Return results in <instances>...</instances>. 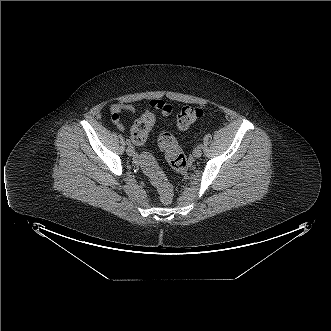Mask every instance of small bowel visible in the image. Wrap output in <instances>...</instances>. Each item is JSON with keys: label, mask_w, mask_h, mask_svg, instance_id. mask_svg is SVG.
I'll return each mask as SVG.
<instances>
[{"label": "small bowel", "mask_w": 331, "mask_h": 331, "mask_svg": "<svg viewBox=\"0 0 331 331\" xmlns=\"http://www.w3.org/2000/svg\"><path fill=\"white\" fill-rule=\"evenodd\" d=\"M149 106L152 109L159 111L162 115L165 116L170 115L173 111L172 106L162 99L150 100ZM124 112H135V107L131 104L123 102L114 103L110 107L111 120L117 126V128L122 131L125 129V127L121 123L120 115ZM140 157L138 159H140Z\"/></svg>", "instance_id": "obj_1"}]
</instances>
